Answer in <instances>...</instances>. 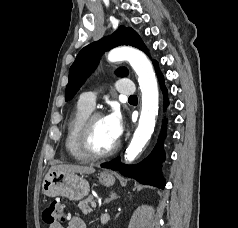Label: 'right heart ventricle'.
<instances>
[{
  "instance_id": "obj_1",
  "label": "right heart ventricle",
  "mask_w": 238,
  "mask_h": 228,
  "mask_svg": "<svg viewBox=\"0 0 238 228\" xmlns=\"http://www.w3.org/2000/svg\"><path fill=\"white\" fill-rule=\"evenodd\" d=\"M92 110L79 100L67 121L65 147L68 154L78 162L89 160L80 149L79 136L82 124Z\"/></svg>"
}]
</instances>
